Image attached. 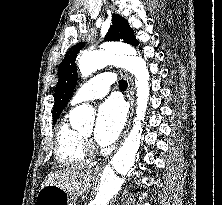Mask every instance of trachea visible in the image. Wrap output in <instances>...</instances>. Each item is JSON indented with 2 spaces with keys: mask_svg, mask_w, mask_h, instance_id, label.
<instances>
[{
  "mask_svg": "<svg viewBox=\"0 0 222 205\" xmlns=\"http://www.w3.org/2000/svg\"><path fill=\"white\" fill-rule=\"evenodd\" d=\"M119 87H120V89H122V90L127 89V87H128L127 81H125V80H123V79L119 80Z\"/></svg>",
  "mask_w": 222,
  "mask_h": 205,
  "instance_id": "3493384b",
  "label": "trachea"
}]
</instances>
